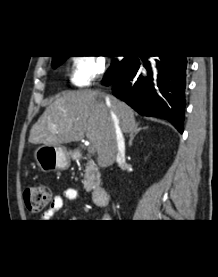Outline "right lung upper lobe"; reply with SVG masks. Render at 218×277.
I'll return each instance as SVG.
<instances>
[{
	"label": "right lung upper lobe",
	"mask_w": 218,
	"mask_h": 277,
	"mask_svg": "<svg viewBox=\"0 0 218 277\" xmlns=\"http://www.w3.org/2000/svg\"><path fill=\"white\" fill-rule=\"evenodd\" d=\"M58 57H60V56H53L52 60H54V59H56V58H58Z\"/></svg>",
	"instance_id": "right-lung-upper-lobe-1"
}]
</instances>
